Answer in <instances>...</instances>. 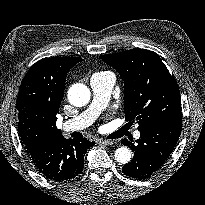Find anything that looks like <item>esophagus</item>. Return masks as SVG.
<instances>
[{"mask_svg":"<svg viewBox=\"0 0 205 205\" xmlns=\"http://www.w3.org/2000/svg\"><path fill=\"white\" fill-rule=\"evenodd\" d=\"M99 143H102L103 145H106V146H109V145H112V144H114V141L113 140H106V139H100L99 141H98Z\"/></svg>","mask_w":205,"mask_h":205,"instance_id":"1","label":"esophagus"}]
</instances>
